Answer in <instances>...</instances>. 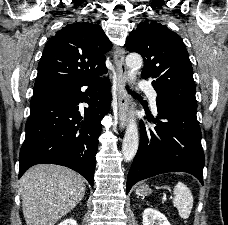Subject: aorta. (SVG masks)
Masks as SVG:
<instances>
[{"label": "aorta", "instance_id": "1", "mask_svg": "<svg viewBox=\"0 0 228 225\" xmlns=\"http://www.w3.org/2000/svg\"><path fill=\"white\" fill-rule=\"evenodd\" d=\"M126 64L129 68L127 78H129V80H134L139 68H141L143 64V58L140 54H136V52H130L126 58ZM128 123L129 125H127L122 143V153L125 161H132L138 151L139 135L135 119L130 117Z\"/></svg>", "mask_w": 228, "mask_h": 225}]
</instances>
